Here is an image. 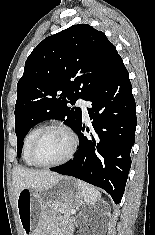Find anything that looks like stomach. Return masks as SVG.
Returning <instances> with one entry per match:
<instances>
[{
	"instance_id": "stomach-1",
	"label": "stomach",
	"mask_w": 155,
	"mask_h": 235,
	"mask_svg": "<svg viewBox=\"0 0 155 235\" xmlns=\"http://www.w3.org/2000/svg\"><path fill=\"white\" fill-rule=\"evenodd\" d=\"M83 203V195L72 177L62 176L47 189L26 188L17 197V212L24 235H46L41 229L45 207L70 210Z\"/></svg>"
}]
</instances>
